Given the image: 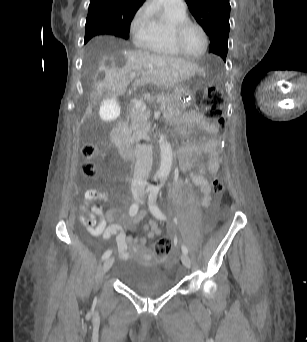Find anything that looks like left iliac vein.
<instances>
[{"label":"left iliac vein","mask_w":307,"mask_h":342,"mask_svg":"<svg viewBox=\"0 0 307 342\" xmlns=\"http://www.w3.org/2000/svg\"><path fill=\"white\" fill-rule=\"evenodd\" d=\"M181 260H182V263L185 267H187V268L190 267L191 261H190V258L187 254H185V253L181 254Z\"/></svg>","instance_id":"4c4485c4"}]
</instances>
